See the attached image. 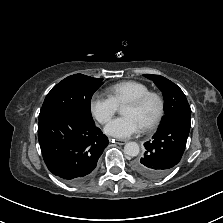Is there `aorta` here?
I'll return each mask as SVG.
<instances>
[{"instance_id":"1","label":"aorta","mask_w":223,"mask_h":223,"mask_svg":"<svg viewBox=\"0 0 223 223\" xmlns=\"http://www.w3.org/2000/svg\"><path fill=\"white\" fill-rule=\"evenodd\" d=\"M140 152L139 145L136 142H128L124 146V153L130 157H136Z\"/></svg>"}]
</instances>
